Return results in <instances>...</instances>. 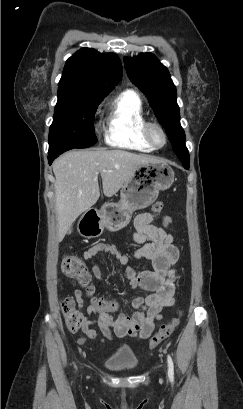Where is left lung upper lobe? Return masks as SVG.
<instances>
[{
    "label": "left lung upper lobe",
    "mask_w": 243,
    "mask_h": 409,
    "mask_svg": "<svg viewBox=\"0 0 243 409\" xmlns=\"http://www.w3.org/2000/svg\"><path fill=\"white\" fill-rule=\"evenodd\" d=\"M124 65L132 83L149 100L177 157L184 166H189V152L185 146V133L180 125L176 87L168 69L152 53H141L133 59L125 57Z\"/></svg>",
    "instance_id": "left-lung-upper-lobe-1"
}]
</instances>
